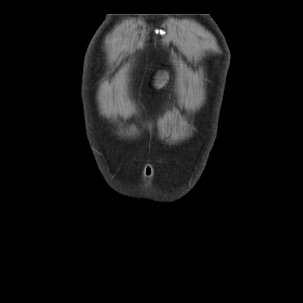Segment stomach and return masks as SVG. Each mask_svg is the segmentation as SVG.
<instances>
[{
    "label": "stomach",
    "instance_id": "stomach-1",
    "mask_svg": "<svg viewBox=\"0 0 303 303\" xmlns=\"http://www.w3.org/2000/svg\"><path fill=\"white\" fill-rule=\"evenodd\" d=\"M169 76L167 73H160L157 75L155 79V86L157 88L164 87L166 83L168 82Z\"/></svg>",
    "mask_w": 303,
    "mask_h": 303
}]
</instances>
